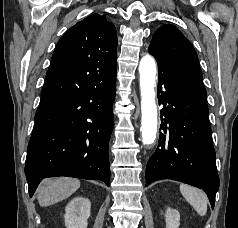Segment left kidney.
<instances>
[{"instance_id":"left-kidney-1","label":"left kidney","mask_w":238,"mask_h":228,"mask_svg":"<svg viewBox=\"0 0 238 228\" xmlns=\"http://www.w3.org/2000/svg\"><path fill=\"white\" fill-rule=\"evenodd\" d=\"M166 228H179L180 214L177 210L167 208L165 213Z\"/></svg>"}]
</instances>
